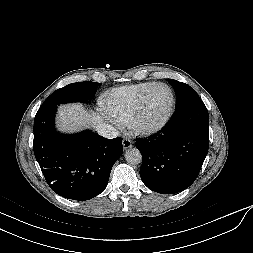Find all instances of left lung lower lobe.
<instances>
[{"label":"left lung lower lobe","instance_id":"0a47b994","mask_svg":"<svg viewBox=\"0 0 253 253\" xmlns=\"http://www.w3.org/2000/svg\"><path fill=\"white\" fill-rule=\"evenodd\" d=\"M140 177L151 190L174 194L197 178L209 147V115L202 101L179 108L161 132L138 139Z\"/></svg>","mask_w":253,"mask_h":253}]
</instances>
